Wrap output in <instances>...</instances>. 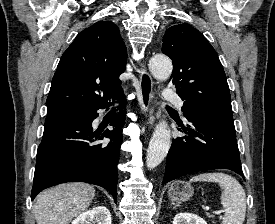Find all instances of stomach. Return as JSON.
Here are the masks:
<instances>
[{
    "label": "stomach",
    "instance_id": "obj_1",
    "mask_svg": "<svg viewBox=\"0 0 275 224\" xmlns=\"http://www.w3.org/2000/svg\"><path fill=\"white\" fill-rule=\"evenodd\" d=\"M193 193L191 184L184 181H175L168 189L169 198L177 203L188 201Z\"/></svg>",
    "mask_w": 275,
    "mask_h": 224
}]
</instances>
